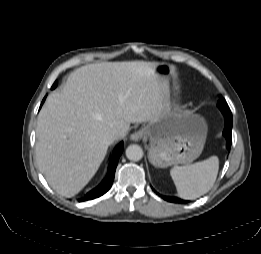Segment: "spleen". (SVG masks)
<instances>
[{
    "label": "spleen",
    "mask_w": 261,
    "mask_h": 254,
    "mask_svg": "<svg viewBox=\"0 0 261 254\" xmlns=\"http://www.w3.org/2000/svg\"><path fill=\"white\" fill-rule=\"evenodd\" d=\"M219 170L217 156L186 166H176L170 175L178 195L187 200L196 199L207 193L215 183Z\"/></svg>",
    "instance_id": "obj_1"
}]
</instances>
